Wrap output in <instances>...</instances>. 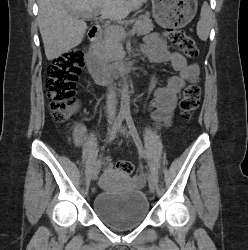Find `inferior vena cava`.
I'll list each match as a JSON object with an SVG mask.
<instances>
[{
	"mask_svg": "<svg viewBox=\"0 0 248 250\" xmlns=\"http://www.w3.org/2000/svg\"><path fill=\"white\" fill-rule=\"evenodd\" d=\"M116 91L115 87L112 85V81L109 82L107 100H106V112L108 120H114L116 116Z\"/></svg>",
	"mask_w": 248,
	"mask_h": 250,
	"instance_id": "602c4592",
	"label": "inferior vena cava"
}]
</instances>
